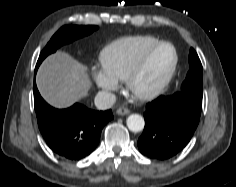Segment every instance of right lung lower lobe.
<instances>
[{
	"label": "right lung lower lobe",
	"instance_id": "right-lung-lower-lobe-1",
	"mask_svg": "<svg viewBox=\"0 0 236 187\" xmlns=\"http://www.w3.org/2000/svg\"><path fill=\"white\" fill-rule=\"evenodd\" d=\"M37 69L34 105L38 127L46 143L63 159L77 161L87 157L98 145L102 128L113 118L112 111H95L79 103L67 109L51 107L37 90Z\"/></svg>",
	"mask_w": 236,
	"mask_h": 187
}]
</instances>
